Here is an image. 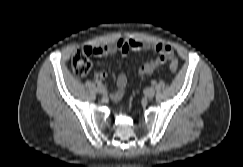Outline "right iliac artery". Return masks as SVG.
<instances>
[{"label": "right iliac artery", "instance_id": "right-iliac-artery-1", "mask_svg": "<svg viewBox=\"0 0 243 167\" xmlns=\"http://www.w3.org/2000/svg\"><path fill=\"white\" fill-rule=\"evenodd\" d=\"M96 84H97L98 87L102 86V82L101 81H96Z\"/></svg>", "mask_w": 243, "mask_h": 167}]
</instances>
